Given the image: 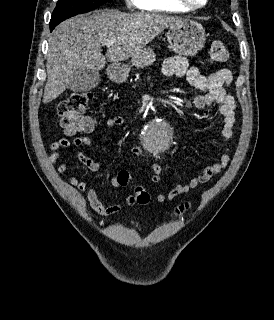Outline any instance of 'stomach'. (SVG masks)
<instances>
[{
  "mask_svg": "<svg viewBox=\"0 0 274 320\" xmlns=\"http://www.w3.org/2000/svg\"><path fill=\"white\" fill-rule=\"evenodd\" d=\"M168 48L178 54V56H195L202 50L206 34L203 26L194 20H178L176 24L170 26L167 34ZM155 62V54L150 48H143L132 64L135 68H147ZM131 66L123 64H111L106 70V74L112 82H125L128 78Z\"/></svg>",
  "mask_w": 274,
  "mask_h": 320,
  "instance_id": "1",
  "label": "stomach"
}]
</instances>
